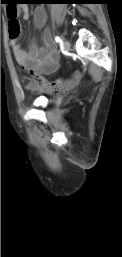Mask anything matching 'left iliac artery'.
<instances>
[{"label": "left iliac artery", "instance_id": "left-iliac-artery-1", "mask_svg": "<svg viewBox=\"0 0 122 257\" xmlns=\"http://www.w3.org/2000/svg\"><path fill=\"white\" fill-rule=\"evenodd\" d=\"M55 41L58 42V43H61V42H62V39H61L59 36H56V37H55Z\"/></svg>", "mask_w": 122, "mask_h": 257}]
</instances>
